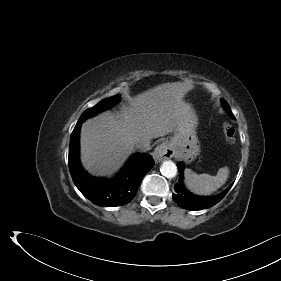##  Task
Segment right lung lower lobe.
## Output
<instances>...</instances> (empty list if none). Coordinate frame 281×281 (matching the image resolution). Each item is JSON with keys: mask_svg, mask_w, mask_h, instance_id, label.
Instances as JSON below:
<instances>
[{"mask_svg": "<svg viewBox=\"0 0 281 281\" xmlns=\"http://www.w3.org/2000/svg\"><path fill=\"white\" fill-rule=\"evenodd\" d=\"M83 122H77L70 138L69 170L79 191L98 206H121L135 196L145 174L154 160L146 153L133 155L114 179L90 176L79 162V132Z\"/></svg>", "mask_w": 281, "mask_h": 281, "instance_id": "right-lung-lower-lobe-1", "label": "right lung lower lobe"}]
</instances>
